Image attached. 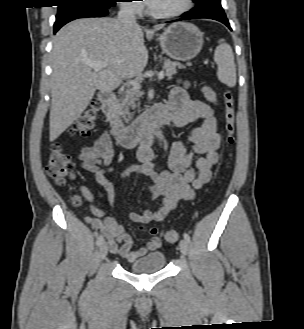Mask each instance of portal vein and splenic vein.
<instances>
[{
	"instance_id": "1",
	"label": "portal vein and splenic vein",
	"mask_w": 304,
	"mask_h": 329,
	"mask_svg": "<svg viewBox=\"0 0 304 329\" xmlns=\"http://www.w3.org/2000/svg\"><path fill=\"white\" fill-rule=\"evenodd\" d=\"M85 64L90 66L92 69H94V71H100L108 66L107 63L102 61H86ZM158 78L160 80L164 78V71L159 72ZM130 84L133 85L135 89L139 90L141 88L140 84L136 80H131Z\"/></svg>"
}]
</instances>
